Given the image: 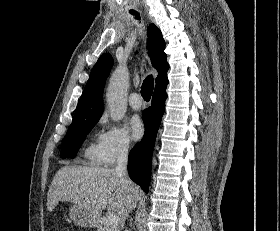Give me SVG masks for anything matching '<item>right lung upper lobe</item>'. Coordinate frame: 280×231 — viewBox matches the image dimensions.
<instances>
[{
	"label": "right lung upper lobe",
	"mask_w": 280,
	"mask_h": 231,
	"mask_svg": "<svg viewBox=\"0 0 280 231\" xmlns=\"http://www.w3.org/2000/svg\"><path fill=\"white\" fill-rule=\"evenodd\" d=\"M149 40V54L152 66L158 71L156 77L155 91L166 89L168 84L167 71L169 65L166 61L167 55L164 52L165 42L162 38L161 31L154 25L150 24L147 28ZM113 58L110 54H103L94 65L89 80L81 95L76 107L75 115L71 126L87 121L99 120L103 113L102 93L105 80L113 66Z\"/></svg>",
	"instance_id": "right-lung-upper-lobe-1"
}]
</instances>
